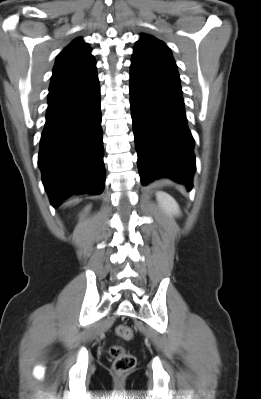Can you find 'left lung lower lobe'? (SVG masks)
I'll list each match as a JSON object with an SVG mask.
<instances>
[{"mask_svg":"<svg viewBox=\"0 0 261 399\" xmlns=\"http://www.w3.org/2000/svg\"><path fill=\"white\" fill-rule=\"evenodd\" d=\"M130 103L142 185L169 177L191 189L194 140L179 76L131 65Z\"/></svg>","mask_w":261,"mask_h":399,"instance_id":"1","label":"left lung lower lobe"}]
</instances>
